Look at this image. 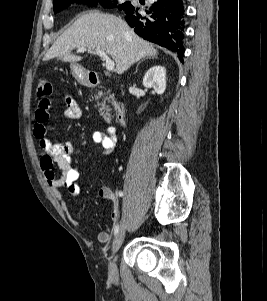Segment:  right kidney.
<instances>
[{
  "label": "right kidney",
  "mask_w": 267,
  "mask_h": 301,
  "mask_svg": "<svg viewBox=\"0 0 267 301\" xmlns=\"http://www.w3.org/2000/svg\"><path fill=\"white\" fill-rule=\"evenodd\" d=\"M146 88H153L157 94H163L166 89V69L162 66L151 67L143 78Z\"/></svg>",
  "instance_id": "obj_1"
}]
</instances>
